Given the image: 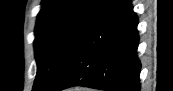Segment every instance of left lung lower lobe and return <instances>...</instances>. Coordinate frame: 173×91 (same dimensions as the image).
<instances>
[{"label":"left lung lower lobe","instance_id":"obj_1","mask_svg":"<svg viewBox=\"0 0 173 91\" xmlns=\"http://www.w3.org/2000/svg\"><path fill=\"white\" fill-rule=\"evenodd\" d=\"M138 18L130 0H115L81 42L50 91L84 86L139 91Z\"/></svg>","mask_w":173,"mask_h":91}]
</instances>
